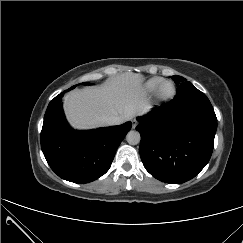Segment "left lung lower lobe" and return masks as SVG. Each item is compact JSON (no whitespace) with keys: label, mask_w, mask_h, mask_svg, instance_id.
<instances>
[{"label":"left lung lower lobe","mask_w":243,"mask_h":243,"mask_svg":"<svg viewBox=\"0 0 243 243\" xmlns=\"http://www.w3.org/2000/svg\"><path fill=\"white\" fill-rule=\"evenodd\" d=\"M197 94L179 87L172 101L138 117L140 156L146 170L170 184L194 178L210 160L217 129L215 113L197 112L190 104Z\"/></svg>","instance_id":"obj_1"}]
</instances>
